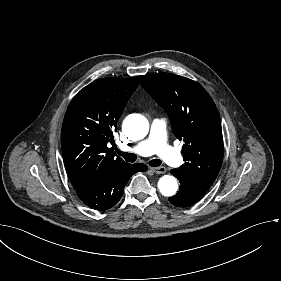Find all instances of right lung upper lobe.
I'll use <instances>...</instances> for the list:
<instances>
[{"mask_svg": "<svg viewBox=\"0 0 281 281\" xmlns=\"http://www.w3.org/2000/svg\"><path fill=\"white\" fill-rule=\"evenodd\" d=\"M138 78H102L79 91L66 111L61 147L67 175L76 190L91 186L130 164L113 149V130Z\"/></svg>", "mask_w": 281, "mask_h": 281, "instance_id": "right-lung-upper-lobe-1", "label": "right lung upper lobe"}]
</instances>
